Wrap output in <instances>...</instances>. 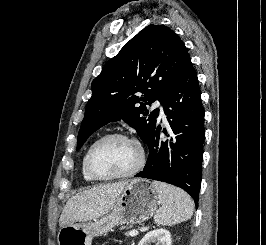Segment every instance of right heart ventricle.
I'll list each match as a JSON object with an SVG mask.
<instances>
[{
    "label": "right heart ventricle",
    "mask_w": 266,
    "mask_h": 245,
    "mask_svg": "<svg viewBox=\"0 0 266 245\" xmlns=\"http://www.w3.org/2000/svg\"><path fill=\"white\" fill-rule=\"evenodd\" d=\"M93 144V142H92ZM90 144V146L92 145ZM90 146L87 148V150L85 151L83 157H82V160H81V176L83 178V180L85 182H88V183H94L96 182V180H94L90 175L89 173L87 172V169H86V154H87V151L88 149L90 148Z\"/></svg>",
    "instance_id": "right-heart-ventricle-1"
}]
</instances>
